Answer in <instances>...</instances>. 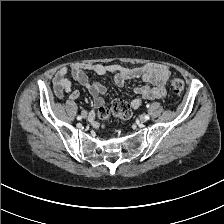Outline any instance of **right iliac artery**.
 Here are the masks:
<instances>
[{"label":"right iliac artery","instance_id":"right-iliac-artery-1","mask_svg":"<svg viewBox=\"0 0 224 224\" xmlns=\"http://www.w3.org/2000/svg\"><path fill=\"white\" fill-rule=\"evenodd\" d=\"M82 112H83V111H82ZM81 118H82L81 116H77V119H78V120H81Z\"/></svg>","mask_w":224,"mask_h":224}]
</instances>
